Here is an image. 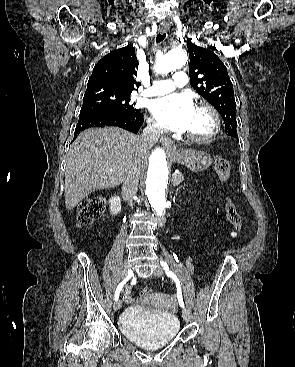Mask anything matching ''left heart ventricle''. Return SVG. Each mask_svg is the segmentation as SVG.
Returning <instances> with one entry per match:
<instances>
[{"mask_svg": "<svg viewBox=\"0 0 295 367\" xmlns=\"http://www.w3.org/2000/svg\"><path fill=\"white\" fill-rule=\"evenodd\" d=\"M211 128L212 119L210 115L206 111L195 109L186 133L201 136L207 134Z\"/></svg>", "mask_w": 295, "mask_h": 367, "instance_id": "b2bd125f", "label": "left heart ventricle"}]
</instances>
